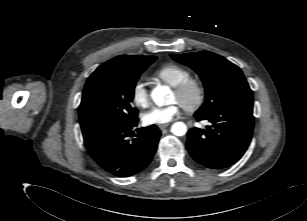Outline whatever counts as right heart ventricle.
Wrapping results in <instances>:
<instances>
[{
  "label": "right heart ventricle",
  "mask_w": 307,
  "mask_h": 221,
  "mask_svg": "<svg viewBox=\"0 0 307 221\" xmlns=\"http://www.w3.org/2000/svg\"><path fill=\"white\" fill-rule=\"evenodd\" d=\"M154 77L170 86H175L191 78V72L180 65L167 63L154 72Z\"/></svg>",
  "instance_id": "e07e8e85"
}]
</instances>
